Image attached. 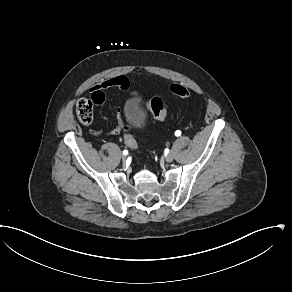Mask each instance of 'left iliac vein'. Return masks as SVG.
Here are the masks:
<instances>
[{"label": "left iliac vein", "instance_id": "left-iliac-vein-1", "mask_svg": "<svg viewBox=\"0 0 292 292\" xmlns=\"http://www.w3.org/2000/svg\"><path fill=\"white\" fill-rule=\"evenodd\" d=\"M173 159H174V154H173V152H169V153L165 156V160H166L167 162H172Z\"/></svg>", "mask_w": 292, "mask_h": 292}]
</instances>
